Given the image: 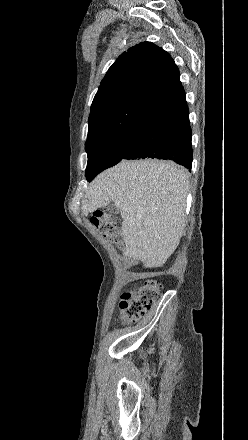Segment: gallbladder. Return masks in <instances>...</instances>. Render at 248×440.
Returning a JSON list of instances; mask_svg holds the SVG:
<instances>
[{
    "label": "gallbladder",
    "mask_w": 248,
    "mask_h": 440,
    "mask_svg": "<svg viewBox=\"0 0 248 440\" xmlns=\"http://www.w3.org/2000/svg\"><path fill=\"white\" fill-rule=\"evenodd\" d=\"M106 212L109 214H115L118 212V208L115 204H110L106 207Z\"/></svg>",
    "instance_id": "bac80fb5"
}]
</instances>
